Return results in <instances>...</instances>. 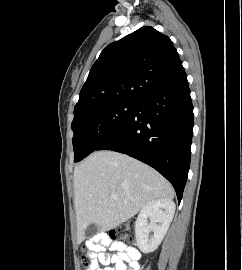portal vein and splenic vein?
<instances>
[{
  "label": "portal vein and splenic vein",
  "mask_w": 242,
  "mask_h": 270,
  "mask_svg": "<svg viewBox=\"0 0 242 270\" xmlns=\"http://www.w3.org/2000/svg\"><path fill=\"white\" fill-rule=\"evenodd\" d=\"M111 197H112L113 199H117V196H116V195H111Z\"/></svg>",
  "instance_id": "portal-vein-and-splenic-vein-1"
}]
</instances>
